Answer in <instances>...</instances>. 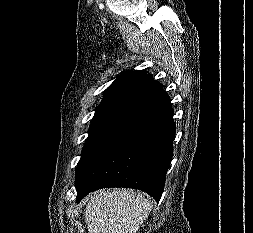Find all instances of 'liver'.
<instances>
[{
  "label": "liver",
  "instance_id": "obj_1",
  "mask_svg": "<svg viewBox=\"0 0 253 233\" xmlns=\"http://www.w3.org/2000/svg\"><path fill=\"white\" fill-rule=\"evenodd\" d=\"M151 208L143 192L113 189L95 192L84 216L89 233H137Z\"/></svg>",
  "mask_w": 253,
  "mask_h": 233
}]
</instances>
